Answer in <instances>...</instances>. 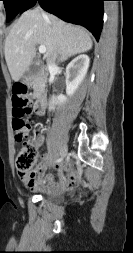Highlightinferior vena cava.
<instances>
[{"instance_id": "1", "label": "inferior vena cava", "mask_w": 133, "mask_h": 253, "mask_svg": "<svg viewBox=\"0 0 133 253\" xmlns=\"http://www.w3.org/2000/svg\"><path fill=\"white\" fill-rule=\"evenodd\" d=\"M42 15H43L45 18H47V15H46L45 13L42 12Z\"/></svg>"}]
</instances>
